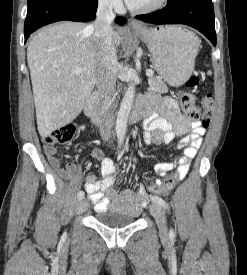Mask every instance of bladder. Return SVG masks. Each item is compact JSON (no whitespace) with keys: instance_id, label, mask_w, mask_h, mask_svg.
I'll return each instance as SVG.
<instances>
[{"instance_id":"1","label":"bladder","mask_w":247,"mask_h":275,"mask_svg":"<svg viewBox=\"0 0 247 275\" xmlns=\"http://www.w3.org/2000/svg\"><path fill=\"white\" fill-rule=\"evenodd\" d=\"M96 220L99 224L108 228H121L136 223L137 218L133 214L115 210L98 211Z\"/></svg>"}]
</instances>
